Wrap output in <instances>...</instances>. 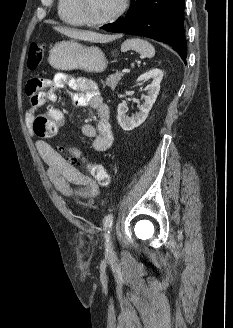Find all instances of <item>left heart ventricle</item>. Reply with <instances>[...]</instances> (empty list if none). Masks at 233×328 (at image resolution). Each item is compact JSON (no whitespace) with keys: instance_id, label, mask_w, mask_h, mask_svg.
<instances>
[{"instance_id":"b2bd125f","label":"left heart ventricle","mask_w":233,"mask_h":328,"mask_svg":"<svg viewBox=\"0 0 233 328\" xmlns=\"http://www.w3.org/2000/svg\"><path fill=\"white\" fill-rule=\"evenodd\" d=\"M121 0H85L87 14L93 19H103L112 14Z\"/></svg>"}]
</instances>
